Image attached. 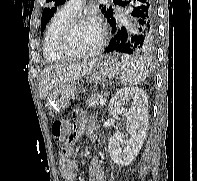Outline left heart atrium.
I'll use <instances>...</instances> for the list:
<instances>
[{"label": "left heart atrium", "instance_id": "obj_1", "mask_svg": "<svg viewBox=\"0 0 197 181\" xmlns=\"http://www.w3.org/2000/svg\"><path fill=\"white\" fill-rule=\"evenodd\" d=\"M93 22L95 23V25H96L98 28L101 27V21H100L99 18H96Z\"/></svg>", "mask_w": 197, "mask_h": 181}]
</instances>
